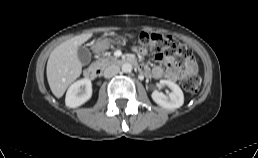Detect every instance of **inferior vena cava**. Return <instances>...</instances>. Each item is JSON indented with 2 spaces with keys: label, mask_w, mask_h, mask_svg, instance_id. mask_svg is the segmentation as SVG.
I'll use <instances>...</instances> for the list:
<instances>
[{
  "label": "inferior vena cava",
  "mask_w": 258,
  "mask_h": 158,
  "mask_svg": "<svg viewBox=\"0 0 258 158\" xmlns=\"http://www.w3.org/2000/svg\"><path fill=\"white\" fill-rule=\"evenodd\" d=\"M120 71L119 66L117 65H110L104 70V77L110 78L114 75H116Z\"/></svg>",
  "instance_id": "1"
}]
</instances>
